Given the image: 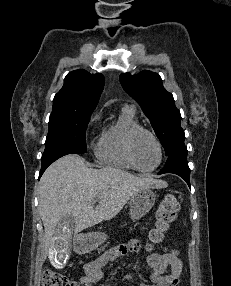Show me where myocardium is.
Instances as JSON below:
<instances>
[{
  "label": "myocardium",
  "mask_w": 231,
  "mask_h": 286,
  "mask_svg": "<svg viewBox=\"0 0 231 286\" xmlns=\"http://www.w3.org/2000/svg\"><path fill=\"white\" fill-rule=\"evenodd\" d=\"M140 134H147L149 135L153 141L155 142L157 148H158V152H159V159L157 164L151 168V169H142L141 167L138 166L136 160H135V156H134V152H133V146H134V142L136 140V138L140 135ZM125 150H126V155L128 157V160L130 161L131 165L133 166V168L141 173H152L155 170H157L160 165L162 164L163 161V157H164V151H163V146L161 141L159 140V138L157 137V135L144 127H137L133 130H131L126 138V144H125Z\"/></svg>",
  "instance_id": "1"
}]
</instances>
